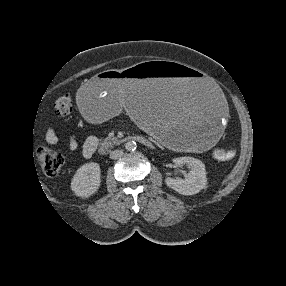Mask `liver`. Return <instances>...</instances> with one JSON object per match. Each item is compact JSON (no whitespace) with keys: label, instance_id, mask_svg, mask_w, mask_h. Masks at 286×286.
Returning a JSON list of instances; mask_svg holds the SVG:
<instances>
[{"label":"liver","instance_id":"liver-1","mask_svg":"<svg viewBox=\"0 0 286 286\" xmlns=\"http://www.w3.org/2000/svg\"><path fill=\"white\" fill-rule=\"evenodd\" d=\"M120 93H121V97L124 98L125 94H126V90L123 89V90L120 91ZM122 103H124L123 100H122Z\"/></svg>","mask_w":286,"mask_h":286}]
</instances>
